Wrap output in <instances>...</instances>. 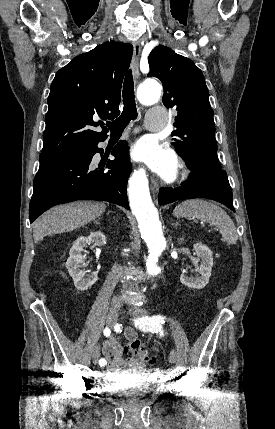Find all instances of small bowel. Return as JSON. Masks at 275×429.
Listing matches in <instances>:
<instances>
[{"label": "small bowel", "mask_w": 275, "mask_h": 429, "mask_svg": "<svg viewBox=\"0 0 275 429\" xmlns=\"http://www.w3.org/2000/svg\"><path fill=\"white\" fill-rule=\"evenodd\" d=\"M123 335L128 341L127 345H122L115 337L101 343V349L105 356L106 367L112 373L127 371L140 372L144 369V363L134 358H125L124 353L131 351V343L138 340L137 333L131 328L124 330ZM104 365V366H105Z\"/></svg>", "instance_id": "1"}]
</instances>
